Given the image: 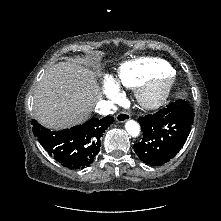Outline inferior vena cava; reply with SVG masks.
Listing matches in <instances>:
<instances>
[{
  "label": "inferior vena cava",
  "mask_w": 221,
  "mask_h": 221,
  "mask_svg": "<svg viewBox=\"0 0 221 221\" xmlns=\"http://www.w3.org/2000/svg\"><path fill=\"white\" fill-rule=\"evenodd\" d=\"M111 109L112 106L108 101L101 100L96 104V112L101 115L112 114L113 111Z\"/></svg>",
  "instance_id": "obj_1"
}]
</instances>
